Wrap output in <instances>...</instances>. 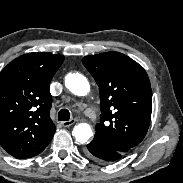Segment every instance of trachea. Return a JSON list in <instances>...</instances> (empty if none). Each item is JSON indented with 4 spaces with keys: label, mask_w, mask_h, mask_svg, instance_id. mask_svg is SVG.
Here are the masks:
<instances>
[{
    "label": "trachea",
    "mask_w": 183,
    "mask_h": 183,
    "mask_svg": "<svg viewBox=\"0 0 183 183\" xmlns=\"http://www.w3.org/2000/svg\"><path fill=\"white\" fill-rule=\"evenodd\" d=\"M70 119V112L67 109H61L58 112L59 121H68Z\"/></svg>",
    "instance_id": "1"
}]
</instances>
